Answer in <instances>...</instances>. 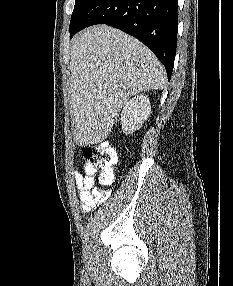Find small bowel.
<instances>
[{
  "mask_svg": "<svg viewBox=\"0 0 233 286\" xmlns=\"http://www.w3.org/2000/svg\"><path fill=\"white\" fill-rule=\"evenodd\" d=\"M83 167L85 174L76 171L73 174V180L79 193L81 210L88 212L100 205L107 198V193L94 188L89 164L86 162Z\"/></svg>",
  "mask_w": 233,
  "mask_h": 286,
  "instance_id": "obj_1",
  "label": "small bowel"
}]
</instances>
